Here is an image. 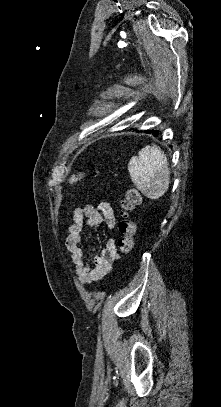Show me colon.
<instances>
[{
    "instance_id": "1",
    "label": "colon",
    "mask_w": 221,
    "mask_h": 407,
    "mask_svg": "<svg viewBox=\"0 0 221 407\" xmlns=\"http://www.w3.org/2000/svg\"><path fill=\"white\" fill-rule=\"evenodd\" d=\"M97 175V171L93 172ZM86 173L83 171L77 172L71 178V183L75 184L82 181L86 177ZM141 202V195L138 189L129 188L127 189L124 197L120 202V219L118 224V229L120 237L118 239V249L123 255H129L132 253L134 248L136 224L132 218V210L138 206ZM110 260H114L111 258ZM117 259H115L116 261Z\"/></svg>"
}]
</instances>
